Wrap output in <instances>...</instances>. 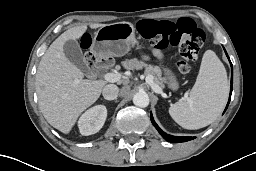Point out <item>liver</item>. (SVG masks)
I'll use <instances>...</instances> for the list:
<instances>
[{"instance_id": "obj_1", "label": "liver", "mask_w": 256, "mask_h": 171, "mask_svg": "<svg viewBox=\"0 0 256 171\" xmlns=\"http://www.w3.org/2000/svg\"><path fill=\"white\" fill-rule=\"evenodd\" d=\"M106 24H90L97 29ZM87 25L62 33L42 56L36 73L39 108L47 122L68 134L80 114L99 98L106 82L83 79V73L70 62L63 50L66 41L79 39Z\"/></svg>"}]
</instances>
